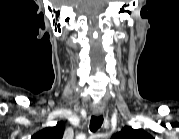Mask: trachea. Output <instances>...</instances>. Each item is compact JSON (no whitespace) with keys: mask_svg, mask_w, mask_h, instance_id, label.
I'll return each mask as SVG.
<instances>
[{"mask_svg":"<svg viewBox=\"0 0 179 139\" xmlns=\"http://www.w3.org/2000/svg\"><path fill=\"white\" fill-rule=\"evenodd\" d=\"M103 123V116H92L90 120V130L92 132L97 131Z\"/></svg>","mask_w":179,"mask_h":139,"instance_id":"1","label":"trachea"}]
</instances>
